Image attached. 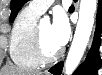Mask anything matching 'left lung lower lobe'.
<instances>
[{"mask_svg":"<svg viewBox=\"0 0 102 75\" xmlns=\"http://www.w3.org/2000/svg\"><path fill=\"white\" fill-rule=\"evenodd\" d=\"M72 12V8L70 10ZM102 29V1H98V11H97V21H96V31L94 35V41L89 51V54L85 62L78 67V69L73 73V75H96L97 70L100 66V59L98 55V48L100 43L99 34ZM63 68V62L57 63L49 71L56 75H60Z\"/></svg>","mask_w":102,"mask_h":75,"instance_id":"1","label":"left lung lower lobe"}]
</instances>
